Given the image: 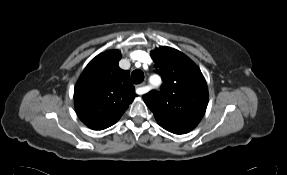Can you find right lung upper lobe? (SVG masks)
<instances>
[{
	"mask_svg": "<svg viewBox=\"0 0 287 175\" xmlns=\"http://www.w3.org/2000/svg\"><path fill=\"white\" fill-rule=\"evenodd\" d=\"M120 59L118 50L97 55L75 86L76 113L91 129L103 130L115 124L136 96L130 72L118 66Z\"/></svg>",
	"mask_w": 287,
	"mask_h": 175,
	"instance_id": "cb5924a9",
	"label": "right lung upper lobe"
}]
</instances>
